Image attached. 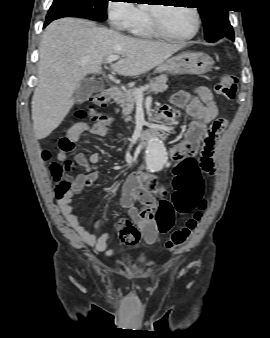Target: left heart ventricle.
I'll return each mask as SVG.
<instances>
[{
    "label": "left heart ventricle",
    "mask_w": 270,
    "mask_h": 338,
    "mask_svg": "<svg viewBox=\"0 0 270 338\" xmlns=\"http://www.w3.org/2000/svg\"><path fill=\"white\" fill-rule=\"evenodd\" d=\"M158 15L162 27L172 35L187 36L195 29V15L188 7L170 6L160 8Z\"/></svg>",
    "instance_id": "obj_1"
}]
</instances>
